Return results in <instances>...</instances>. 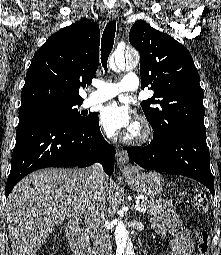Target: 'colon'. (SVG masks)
I'll use <instances>...</instances> for the list:
<instances>
[{"label": "colon", "mask_w": 221, "mask_h": 255, "mask_svg": "<svg viewBox=\"0 0 221 255\" xmlns=\"http://www.w3.org/2000/svg\"><path fill=\"white\" fill-rule=\"evenodd\" d=\"M194 203L200 213H207L209 210V203L207 196L199 193L194 197ZM198 255H209L210 251V234L208 231H201L198 236L197 244Z\"/></svg>", "instance_id": "5ec220e1"}]
</instances>
